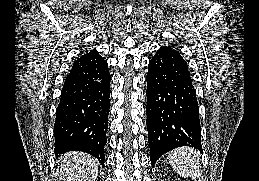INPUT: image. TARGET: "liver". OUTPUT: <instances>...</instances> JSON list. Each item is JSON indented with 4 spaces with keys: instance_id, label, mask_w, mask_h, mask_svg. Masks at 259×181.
Listing matches in <instances>:
<instances>
[{
    "instance_id": "6515ba94",
    "label": "liver",
    "mask_w": 259,
    "mask_h": 181,
    "mask_svg": "<svg viewBox=\"0 0 259 181\" xmlns=\"http://www.w3.org/2000/svg\"><path fill=\"white\" fill-rule=\"evenodd\" d=\"M99 162L89 154L70 152L62 157V181H95Z\"/></svg>"
}]
</instances>
